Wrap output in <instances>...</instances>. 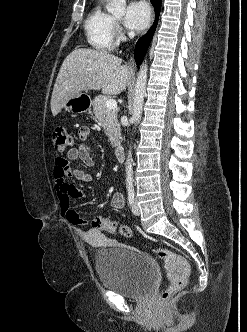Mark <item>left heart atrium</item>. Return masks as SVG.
Listing matches in <instances>:
<instances>
[{
    "mask_svg": "<svg viewBox=\"0 0 247 332\" xmlns=\"http://www.w3.org/2000/svg\"><path fill=\"white\" fill-rule=\"evenodd\" d=\"M150 20V9L145 1L131 2L126 10L124 24L131 31L143 30Z\"/></svg>",
    "mask_w": 247,
    "mask_h": 332,
    "instance_id": "left-heart-atrium-1",
    "label": "left heart atrium"
}]
</instances>
